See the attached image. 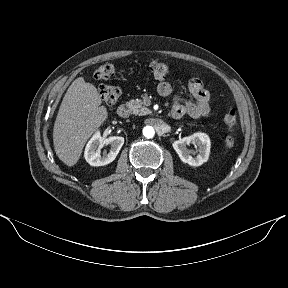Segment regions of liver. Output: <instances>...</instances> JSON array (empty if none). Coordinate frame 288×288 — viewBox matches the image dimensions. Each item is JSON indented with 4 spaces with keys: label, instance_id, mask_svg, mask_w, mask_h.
<instances>
[{
    "label": "liver",
    "instance_id": "1",
    "mask_svg": "<svg viewBox=\"0 0 288 288\" xmlns=\"http://www.w3.org/2000/svg\"><path fill=\"white\" fill-rule=\"evenodd\" d=\"M96 87L83 77L73 81L68 88L53 129L56 155L68 166L75 165L87 140L108 117Z\"/></svg>",
    "mask_w": 288,
    "mask_h": 288
}]
</instances>
